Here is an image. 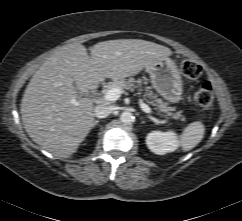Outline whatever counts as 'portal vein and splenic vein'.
<instances>
[{"label":"portal vein and splenic vein","mask_w":242,"mask_h":221,"mask_svg":"<svg viewBox=\"0 0 242 221\" xmlns=\"http://www.w3.org/2000/svg\"><path fill=\"white\" fill-rule=\"evenodd\" d=\"M121 94H122L121 89L112 88L104 94L103 100L109 101V102H114L119 99ZM139 105L144 112L151 113V108L147 104L143 103L141 100L139 101Z\"/></svg>","instance_id":"1"}]
</instances>
